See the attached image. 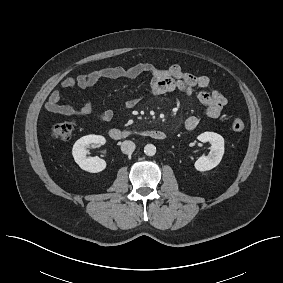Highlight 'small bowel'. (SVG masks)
Here are the masks:
<instances>
[{
  "label": "small bowel",
  "instance_id": "small-bowel-1",
  "mask_svg": "<svg viewBox=\"0 0 283 283\" xmlns=\"http://www.w3.org/2000/svg\"><path fill=\"white\" fill-rule=\"evenodd\" d=\"M143 74L150 76L148 91L153 96H160L172 91H180L188 96H194L205 107V114L209 118L220 116L227 104V98L211 84L206 75H195L184 71L179 64H173L167 69H160L151 63H139L132 66H116L95 69L87 74L76 77H65L61 86L65 89L78 87L88 89L103 78H137ZM196 89H200L197 91ZM61 93L53 90L45 104L47 111L65 116H94L100 121H109L113 113L111 110H96L90 101L80 107H72L60 103ZM139 101L138 97L128 98L121 109L133 108ZM199 124L197 116L191 115L185 119L187 130H194Z\"/></svg>",
  "mask_w": 283,
  "mask_h": 283
}]
</instances>
